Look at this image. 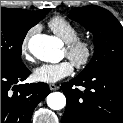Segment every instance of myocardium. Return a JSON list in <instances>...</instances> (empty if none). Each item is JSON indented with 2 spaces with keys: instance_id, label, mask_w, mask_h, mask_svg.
Instances as JSON below:
<instances>
[{
  "instance_id": "obj_1",
  "label": "myocardium",
  "mask_w": 123,
  "mask_h": 123,
  "mask_svg": "<svg viewBox=\"0 0 123 123\" xmlns=\"http://www.w3.org/2000/svg\"><path fill=\"white\" fill-rule=\"evenodd\" d=\"M65 50L73 65L77 69H84L93 60L95 44L88 38L77 37L66 43Z\"/></svg>"
}]
</instances>
